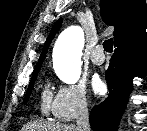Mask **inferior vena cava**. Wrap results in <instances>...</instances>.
<instances>
[{"label": "inferior vena cava", "mask_w": 147, "mask_h": 131, "mask_svg": "<svg viewBox=\"0 0 147 131\" xmlns=\"http://www.w3.org/2000/svg\"><path fill=\"white\" fill-rule=\"evenodd\" d=\"M76 124L79 131H90L89 113L86 102H81L78 105Z\"/></svg>", "instance_id": "602c4592"}]
</instances>
